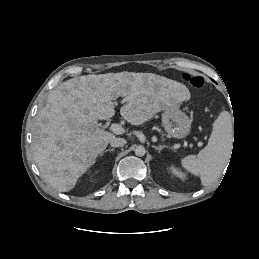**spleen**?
<instances>
[{
	"label": "spleen",
	"mask_w": 259,
	"mask_h": 259,
	"mask_svg": "<svg viewBox=\"0 0 259 259\" xmlns=\"http://www.w3.org/2000/svg\"><path fill=\"white\" fill-rule=\"evenodd\" d=\"M232 118L222 111L213 123L208 144L198 155H188L181 164L188 172L199 176L204 186L212 184L226 167L233 145Z\"/></svg>",
	"instance_id": "obj_1"
}]
</instances>
